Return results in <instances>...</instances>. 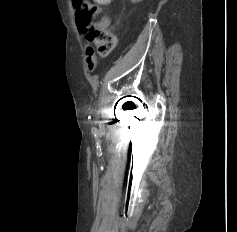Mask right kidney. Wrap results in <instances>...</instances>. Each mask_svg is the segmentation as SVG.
<instances>
[{
	"label": "right kidney",
	"mask_w": 237,
	"mask_h": 232,
	"mask_svg": "<svg viewBox=\"0 0 237 232\" xmlns=\"http://www.w3.org/2000/svg\"><path fill=\"white\" fill-rule=\"evenodd\" d=\"M133 3L141 2L142 0H130Z\"/></svg>",
	"instance_id": "1"
}]
</instances>
